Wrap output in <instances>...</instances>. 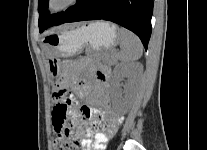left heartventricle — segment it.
Returning <instances> with one entry per match:
<instances>
[{"instance_id":"obj_1","label":"left heart ventricle","mask_w":207,"mask_h":150,"mask_svg":"<svg viewBox=\"0 0 207 150\" xmlns=\"http://www.w3.org/2000/svg\"><path fill=\"white\" fill-rule=\"evenodd\" d=\"M68 0H53V7H61L63 6Z\"/></svg>"}]
</instances>
